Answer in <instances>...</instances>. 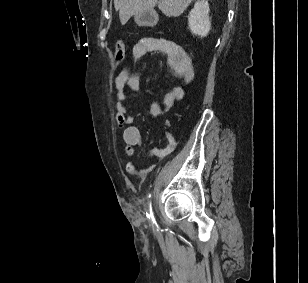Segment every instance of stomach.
Here are the masks:
<instances>
[{
	"label": "stomach",
	"mask_w": 308,
	"mask_h": 283,
	"mask_svg": "<svg viewBox=\"0 0 308 283\" xmlns=\"http://www.w3.org/2000/svg\"><path fill=\"white\" fill-rule=\"evenodd\" d=\"M135 22L141 26H148L152 24V14L150 11L140 12L135 15Z\"/></svg>",
	"instance_id": "1"
}]
</instances>
